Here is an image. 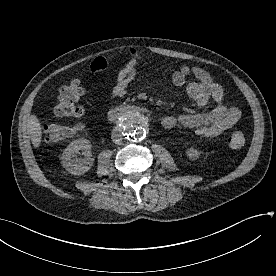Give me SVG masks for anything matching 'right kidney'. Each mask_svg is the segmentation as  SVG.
Wrapping results in <instances>:
<instances>
[{"instance_id": "right-kidney-1", "label": "right kidney", "mask_w": 276, "mask_h": 276, "mask_svg": "<svg viewBox=\"0 0 276 276\" xmlns=\"http://www.w3.org/2000/svg\"><path fill=\"white\" fill-rule=\"evenodd\" d=\"M82 151L84 158H73L75 154ZM90 141L80 138L72 141L61 156L62 166L72 175H83L90 170L94 163V157L91 154Z\"/></svg>"}]
</instances>
